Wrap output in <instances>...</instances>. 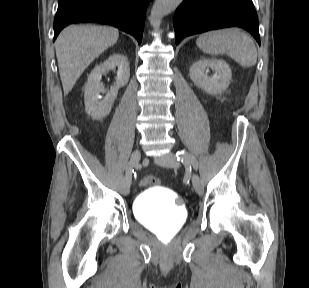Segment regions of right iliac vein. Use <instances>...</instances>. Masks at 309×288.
I'll return each instance as SVG.
<instances>
[{
    "label": "right iliac vein",
    "mask_w": 309,
    "mask_h": 288,
    "mask_svg": "<svg viewBox=\"0 0 309 288\" xmlns=\"http://www.w3.org/2000/svg\"><path fill=\"white\" fill-rule=\"evenodd\" d=\"M141 159V153L140 151L137 149V150H134L131 154V157H130V162L131 161H134V160H139L140 161ZM129 162V164H130ZM133 167V166H132ZM127 170V169H126ZM132 173V171H131ZM130 178V179H129ZM129 181V182H128ZM131 182H132V176L131 177H128L127 176V173H125V177H124V184H125V194H128L129 193V189H130V185H131Z\"/></svg>",
    "instance_id": "obj_1"
}]
</instances>
